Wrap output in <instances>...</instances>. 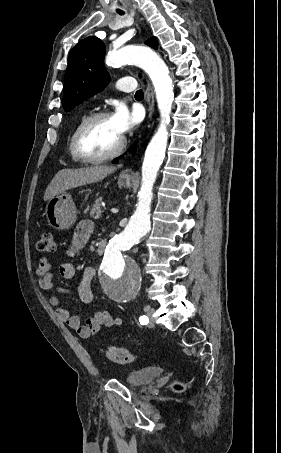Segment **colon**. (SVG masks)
<instances>
[{"mask_svg": "<svg viewBox=\"0 0 281 453\" xmlns=\"http://www.w3.org/2000/svg\"><path fill=\"white\" fill-rule=\"evenodd\" d=\"M55 231L45 230L41 240L38 243V250L45 255H58L59 248L56 246ZM106 360L109 363H136L141 360V357L133 351L120 349V348H109L105 352ZM186 384L184 382H178L176 384L177 390H183Z\"/></svg>", "mask_w": 281, "mask_h": 453, "instance_id": "colon-1", "label": "colon"}]
</instances>
